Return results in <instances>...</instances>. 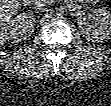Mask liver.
<instances>
[{"label":"liver","instance_id":"obj_1","mask_svg":"<svg viewBox=\"0 0 111 106\" xmlns=\"http://www.w3.org/2000/svg\"><path fill=\"white\" fill-rule=\"evenodd\" d=\"M21 1L19 0H1L0 1V18H1V37L0 43L4 44L5 32L7 30L6 22L17 12Z\"/></svg>","mask_w":111,"mask_h":106}]
</instances>
